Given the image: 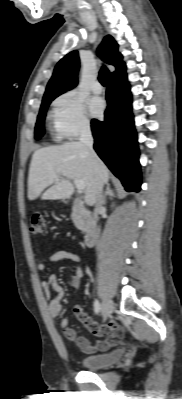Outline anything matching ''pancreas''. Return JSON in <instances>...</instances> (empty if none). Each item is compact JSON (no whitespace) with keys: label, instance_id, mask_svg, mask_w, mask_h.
I'll list each match as a JSON object with an SVG mask.
<instances>
[{"label":"pancreas","instance_id":"cf45deb5","mask_svg":"<svg viewBox=\"0 0 182 399\" xmlns=\"http://www.w3.org/2000/svg\"><path fill=\"white\" fill-rule=\"evenodd\" d=\"M72 220H73L75 226L79 230H81L83 232L85 231V222H84V220H82L80 218V216L78 215V213L76 211H73V213H72Z\"/></svg>","mask_w":182,"mask_h":399}]
</instances>
